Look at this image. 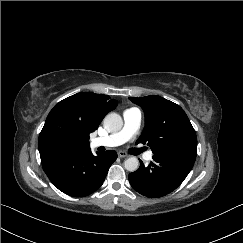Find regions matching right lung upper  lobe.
I'll return each mask as SVG.
<instances>
[{
	"mask_svg": "<svg viewBox=\"0 0 243 243\" xmlns=\"http://www.w3.org/2000/svg\"><path fill=\"white\" fill-rule=\"evenodd\" d=\"M115 106L116 101L110 99V96L82 92L60 101L49 114L60 113L83 131L86 140L79 152L81 153L90 149L89 134L98 128L105 115Z\"/></svg>",
	"mask_w": 243,
	"mask_h": 243,
	"instance_id": "cb5924a9",
	"label": "right lung upper lobe"
}]
</instances>
